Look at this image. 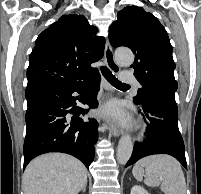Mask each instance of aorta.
<instances>
[{"label": "aorta", "mask_w": 201, "mask_h": 194, "mask_svg": "<svg viewBox=\"0 0 201 194\" xmlns=\"http://www.w3.org/2000/svg\"><path fill=\"white\" fill-rule=\"evenodd\" d=\"M115 60L121 66H130L134 61V55L127 48H119L115 51ZM133 151V143L130 135H123L118 143L117 161L120 164H126Z\"/></svg>", "instance_id": "1"}]
</instances>
